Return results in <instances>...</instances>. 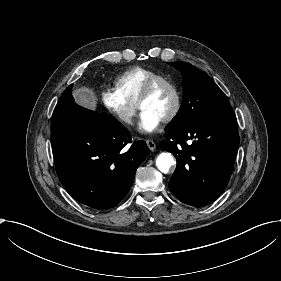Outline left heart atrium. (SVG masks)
I'll list each match as a JSON object with an SVG mask.
<instances>
[{"mask_svg":"<svg viewBox=\"0 0 281 281\" xmlns=\"http://www.w3.org/2000/svg\"><path fill=\"white\" fill-rule=\"evenodd\" d=\"M161 121L153 116L152 114L148 113L145 110H141L140 113V129L146 133H151L155 131Z\"/></svg>","mask_w":281,"mask_h":281,"instance_id":"39dd6f15","label":"left heart atrium"}]
</instances>
